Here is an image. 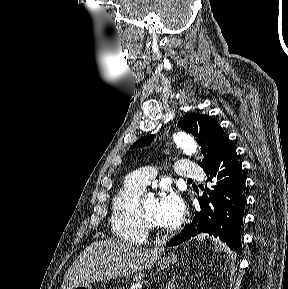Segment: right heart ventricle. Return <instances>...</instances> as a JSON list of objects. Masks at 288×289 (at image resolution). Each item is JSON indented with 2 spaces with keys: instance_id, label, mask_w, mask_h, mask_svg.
Masks as SVG:
<instances>
[{
  "instance_id": "e07e8e85",
  "label": "right heart ventricle",
  "mask_w": 288,
  "mask_h": 289,
  "mask_svg": "<svg viewBox=\"0 0 288 289\" xmlns=\"http://www.w3.org/2000/svg\"><path fill=\"white\" fill-rule=\"evenodd\" d=\"M143 192L144 188L126 179L112 199L111 230L125 244L141 245L147 239V233L138 226L135 217V206Z\"/></svg>"
}]
</instances>
